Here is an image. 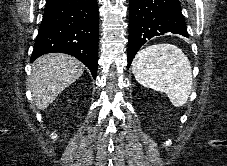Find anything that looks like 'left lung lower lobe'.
<instances>
[{"label":"left lung lower lobe","instance_id":"obj_1","mask_svg":"<svg viewBox=\"0 0 227 166\" xmlns=\"http://www.w3.org/2000/svg\"><path fill=\"white\" fill-rule=\"evenodd\" d=\"M167 32L189 37L179 0H130L128 66L142 45Z\"/></svg>","mask_w":227,"mask_h":166}]
</instances>
